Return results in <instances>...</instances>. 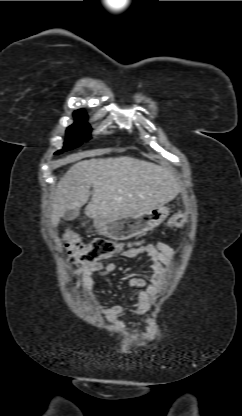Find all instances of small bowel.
Masks as SVG:
<instances>
[{
  "label": "small bowel",
  "instance_id": "obj_1",
  "mask_svg": "<svg viewBox=\"0 0 242 416\" xmlns=\"http://www.w3.org/2000/svg\"><path fill=\"white\" fill-rule=\"evenodd\" d=\"M140 253H144L148 257V270L151 276L149 281L141 277H132L128 281L130 287L141 289L133 308V313L137 316L146 314L155 303L161 288L166 284L167 270L173 265L178 255L177 251L162 242L127 249L119 255L133 257ZM116 269L117 265L114 262L80 265L73 273V281L81 280L85 298L95 303L96 282L94 275L105 276L113 273ZM98 307L108 323L120 333L122 339L130 340L132 338L133 332L127 329L121 320V316L125 312L122 306L104 308L98 305Z\"/></svg>",
  "mask_w": 242,
  "mask_h": 416
}]
</instances>
